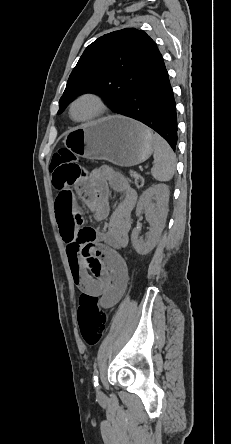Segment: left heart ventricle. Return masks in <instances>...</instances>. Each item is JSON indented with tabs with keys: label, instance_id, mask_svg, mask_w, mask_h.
I'll return each mask as SVG.
<instances>
[{
	"label": "left heart ventricle",
	"instance_id": "b2bd125f",
	"mask_svg": "<svg viewBox=\"0 0 231 444\" xmlns=\"http://www.w3.org/2000/svg\"><path fill=\"white\" fill-rule=\"evenodd\" d=\"M97 111V104L91 98H83L79 100L74 108L73 115L75 118L82 119L93 115Z\"/></svg>",
	"mask_w": 231,
	"mask_h": 444
}]
</instances>
